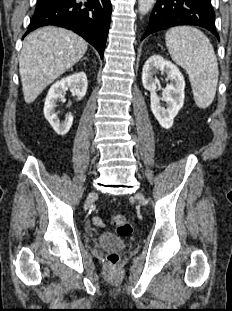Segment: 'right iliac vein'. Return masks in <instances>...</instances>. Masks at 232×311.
Listing matches in <instances>:
<instances>
[{
    "mask_svg": "<svg viewBox=\"0 0 232 311\" xmlns=\"http://www.w3.org/2000/svg\"><path fill=\"white\" fill-rule=\"evenodd\" d=\"M96 196V192L92 191L89 193V195L87 196L86 202H85V210H87L89 208V206L92 204L94 198Z\"/></svg>",
    "mask_w": 232,
    "mask_h": 311,
    "instance_id": "right-iliac-vein-1",
    "label": "right iliac vein"
}]
</instances>
